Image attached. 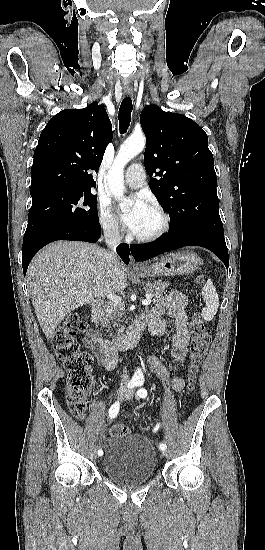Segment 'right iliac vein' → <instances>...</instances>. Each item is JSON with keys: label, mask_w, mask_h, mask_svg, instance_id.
<instances>
[{"label": "right iliac vein", "mask_w": 265, "mask_h": 550, "mask_svg": "<svg viewBox=\"0 0 265 550\" xmlns=\"http://www.w3.org/2000/svg\"><path fill=\"white\" fill-rule=\"evenodd\" d=\"M123 393H124V389L122 388V389H120V391H119V396H122ZM92 457H93L94 459L97 458V452H96V450L93 452Z\"/></svg>", "instance_id": "63e3f726"}]
</instances>
